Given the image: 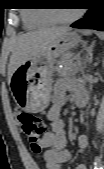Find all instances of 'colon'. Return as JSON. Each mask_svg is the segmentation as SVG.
I'll return each mask as SVG.
<instances>
[{"label": "colon", "mask_w": 104, "mask_h": 169, "mask_svg": "<svg viewBox=\"0 0 104 169\" xmlns=\"http://www.w3.org/2000/svg\"><path fill=\"white\" fill-rule=\"evenodd\" d=\"M17 120L31 150L34 153H40L41 146L39 142L45 132L44 121L36 115L25 112L20 113Z\"/></svg>", "instance_id": "colon-1"}]
</instances>
